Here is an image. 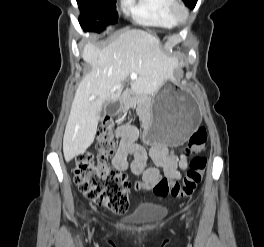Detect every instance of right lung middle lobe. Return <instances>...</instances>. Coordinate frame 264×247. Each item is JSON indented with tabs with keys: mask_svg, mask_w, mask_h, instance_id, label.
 I'll use <instances>...</instances> for the list:
<instances>
[{
	"mask_svg": "<svg viewBox=\"0 0 264 247\" xmlns=\"http://www.w3.org/2000/svg\"><path fill=\"white\" fill-rule=\"evenodd\" d=\"M81 16L79 23L84 30H103L117 22L116 0H77Z\"/></svg>",
	"mask_w": 264,
	"mask_h": 247,
	"instance_id": "obj_1",
	"label": "right lung middle lobe"
}]
</instances>
